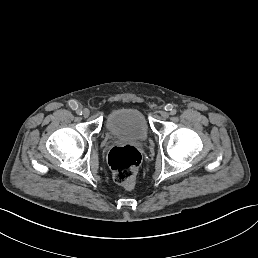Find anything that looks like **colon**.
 <instances>
[{
  "label": "colon",
  "instance_id": "5ec220e1",
  "mask_svg": "<svg viewBox=\"0 0 258 258\" xmlns=\"http://www.w3.org/2000/svg\"><path fill=\"white\" fill-rule=\"evenodd\" d=\"M108 163L115 182L130 186L135 181L141 163V153L131 145L115 146L109 152Z\"/></svg>",
  "mask_w": 258,
  "mask_h": 258
}]
</instances>
